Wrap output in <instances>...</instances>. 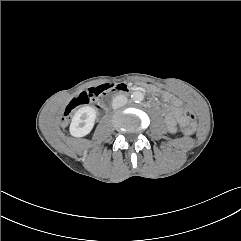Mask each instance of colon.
Here are the masks:
<instances>
[{
	"instance_id": "1",
	"label": "colon",
	"mask_w": 241,
	"mask_h": 241,
	"mask_svg": "<svg viewBox=\"0 0 241 241\" xmlns=\"http://www.w3.org/2000/svg\"><path fill=\"white\" fill-rule=\"evenodd\" d=\"M110 84H103L95 87H91L88 90L83 91L77 97L73 98L69 104L65 107L61 122L64 124L70 119V116L82 105H86L92 101H96L101 95L109 91ZM184 118L187 120V127L182 129L184 136H189L191 132H194L197 128L195 114L191 108L187 107L184 110Z\"/></svg>"
}]
</instances>
